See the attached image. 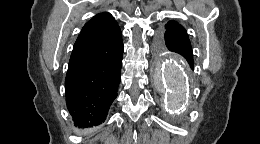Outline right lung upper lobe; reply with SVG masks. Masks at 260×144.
Masks as SVG:
<instances>
[{
	"label": "right lung upper lobe",
	"mask_w": 260,
	"mask_h": 144,
	"mask_svg": "<svg viewBox=\"0 0 260 144\" xmlns=\"http://www.w3.org/2000/svg\"><path fill=\"white\" fill-rule=\"evenodd\" d=\"M119 35L121 30L114 17L107 12L100 13L84 25L74 48L113 40Z\"/></svg>",
	"instance_id": "cb5924a9"
}]
</instances>
